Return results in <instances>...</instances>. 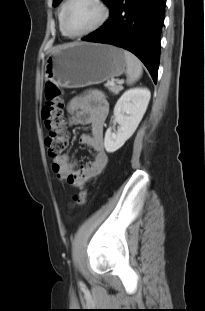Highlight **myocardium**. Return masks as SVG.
<instances>
[{"label": "myocardium", "mask_w": 205, "mask_h": 311, "mask_svg": "<svg viewBox=\"0 0 205 311\" xmlns=\"http://www.w3.org/2000/svg\"><path fill=\"white\" fill-rule=\"evenodd\" d=\"M73 2V0H66L64 7H63V15H62V29L64 31V33L66 34V36L71 37V38H80V37H84L87 36L95 31H97L98 29H100L108 20L109 15H110V11L108 6L106 5L104 0H92V2H94L100 9L101 11V16L99 18V20L97 21V23L92 26L91 28L80 32V33H72L69 31V29L67 28L66 25V17H67V12L69 9L70 4Z\"/></svg>", "instance_id": "f54148a6"}]
</instances>
